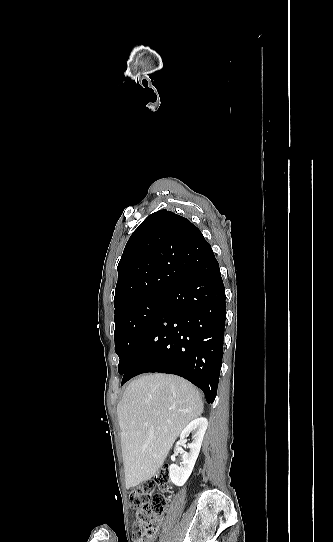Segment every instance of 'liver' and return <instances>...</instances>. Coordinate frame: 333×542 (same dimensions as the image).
<instances>
[{
  "label": "liver",
  "mask_w": 333,
  "mask_h": 542,
  "mask_svg": "<svg viewBox=\"0 0 333 542\" xmlns=\"http://www.w3.org/2000/svg\"><path fill=\"white\" fill-rule=\"evenodd\" d=\"M203 412L200 394L172 374H144L117 406L126 490L153 478L180 432Z\"/></svg>",
  "instance_id": "obj_1"
}]
</instances>
